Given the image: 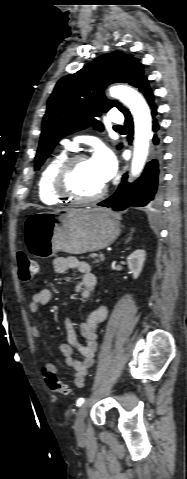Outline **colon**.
Returning <instances> with one entry per match:
<instances>
[{
	"instance_id": "obj_1",
	"label": "colon",
	"mask_w": 187,
	"mask_h": 479,
	"mask_svg": "<svg viewBox=\"0 0 187 479\" xmlns=\"http://www.w3.org/2000/svg\"><path fill=\"white\" fill-rule=\"evenodd\" d=\"M17 266L19 278L24 283L30 282L37 273L36 262L25 253H18ZM44 378L52 392L62 396L71 395L69 387L64 382H62L56 375L52 373H46Z\"/></svg>"
}]
</instances>
